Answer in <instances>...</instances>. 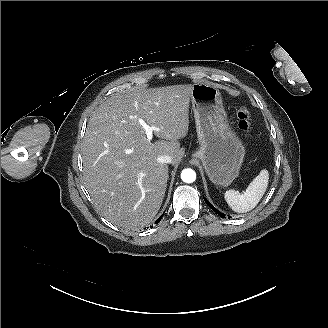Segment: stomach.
Instances as JSON below:
<instances>
[{"instance_id": "0dacf381", "label": "stomach", "mask_w": 328, "mask_h": 328, "mask_svg": "<svg viewBox=\"0 0 328 328\" xmlns=\"http://www.w3.org/2000/svg\"><path fill=\"white\" fill-rule=\"evenodd\" d=\"M192 109L198 144L194 154L211 182L217 187H227L240 174L245 144L232 128L221 94L213 84L193 86Z\"/></svg>"}]
</instances>
